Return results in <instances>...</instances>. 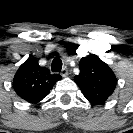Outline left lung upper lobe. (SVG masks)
Masks as SVG:
<instances>
[{"label":"left lung upper lobe","mask_w":133,"mask_h":133,"mask_svg":"<svg viewBox=\"0 0 133 133\" xmlns=\"http://www.w3.org/2000/svg\"><path fill=\"white\" fill-rule=\"evenodd\" d=\"M80 73L75 83L85 98L94 105L103 104L113 93L117 79L111 68L97 55L83 57L79 63Z\"/></svg>","instance_id":"left-lung-upper-lobe-1"}]
</instances>
